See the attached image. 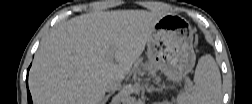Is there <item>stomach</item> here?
Returning <instances> with one entry per match:
<instances>
[{"mask_svg": "<svg viewBox=\"0 0 252 104\" xmlns=\"http://www.w3.org/2000/svg\"><path fill=\"white\" fill-rule=\"evenodd\" d=\"M147 58L169 80L180 82L194 67L193 30L179 16H163L154 26L147 42Z\"/></svg>", "mask_w": 252, "mask_h": 104, "instance_id": "obj_1", "label": "stomach"}]
</instances>
